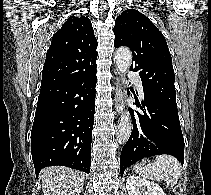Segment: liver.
Returning <instances> with one entry per match:
<instances>
[{
    "label": "liver",
    "mask_w": 211,
    "mask_h": 195,
    "mask_svg": "<svg viewBox=\"0 0 211 195\" xmlns=\"http://www.w3.org/2000/svg\"><path fill=\"white\" fill-rule=\"evenodd\" d=\"M40 176L44 195H79L85 181L82 172L64 166L46 167Z\"/></svg>",
    "instance_id": "obj_1"
}]
</instances>
